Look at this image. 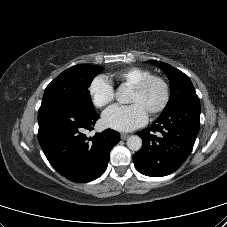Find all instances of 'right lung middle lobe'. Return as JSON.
Listing matches in <instances>:
<instances>
[{"label": "right lung middle lobe", "mask_w": 227, "mask_h": 227, "mask_svg": "<svg viewBox=\"0 0 227 227\" xmlns=\"http://www.w3.org/2000/svg\"><path fill=\"white\" fill-rule=\"evenodd\" d=\"M103 69L88 64L68 68L46 87L41 106L66 102L80 109L95 112L88 88L94 77Z\"/></svg>", "instance_id": "right-lung-middle-lobe-1"}]
</instances>
